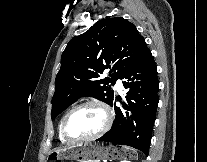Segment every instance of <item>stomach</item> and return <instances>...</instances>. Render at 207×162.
<instances>
[{
    "mask_svg": "<svg viewBox=\"0 0 207 162\" xmlns=\"http://www.w3.org/2000/svg\"><path fill=\"white\" fill-rule=\"evenodd\" d=\"M136 153L128 147H116L112 144L84 143L68 149L52 151L49 162H64L75 160L77 162H100L101 160H122L135 158Z\"/></svg>",
    "mask_w": 207,
    "mask_h": 162,
    "instance_id": "1",
    "label": "stomach"
}]
</instances>
